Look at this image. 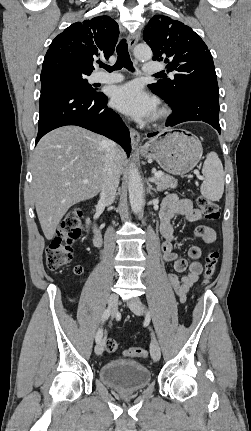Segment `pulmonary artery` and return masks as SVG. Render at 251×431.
<instances>
[{"label":"pulmonary artery","mask_w":251,"mask_h":431,"mask_svg":"<svg viewBox=\"0 0 251 431\" xmlns=\"http://www.w3.org/2000/svg\"><path fill=\"white\" fill-rule=\"evenodd\" d=\"M163 69L162 64L158 63V62H147L144 67H143V71L146 74H151V73H155V72H159ZM97 80L99 82H104V83H114V82H119L122 80V76L116 73L113 74H104V73H100L97 75Z\"/></svg>","instance_id":"obj_1"}]
</instances>
